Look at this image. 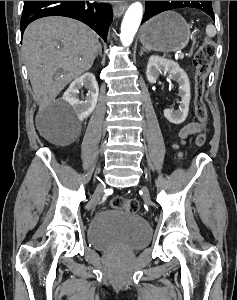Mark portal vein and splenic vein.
Masks as SVG:
<instances>
[{
	"instance_id": "1",
	"label": "portal vein and splenic vein",
	"mask_w": 237,
	"mask_h": 300,
	"mask_svg": "<svg viewBox=\"0 0 237 300\" xmlns=\"http://www.w3.org/2000/svg\"><path fill=\"white\" fill-rule=\"evenodd\" d=\"M184 53L181 51L178 55L180 56V60L183 59V55Z\"/></svg>"
}]
</instances>
